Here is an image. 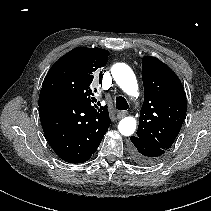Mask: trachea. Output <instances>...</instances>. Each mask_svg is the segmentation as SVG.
Segmentation results:
<instances>
[{
  "mask_svg": "<svg viewBox=\"0 0 211 211\" xmlns=\"http://www.w3.org/2000/svg\"><path fill=\"white\" fill-rule=\"evenodd\" d=\"M115 102H116V108L120 111L127 110L129 108L126 99L122 96L116 97Z\"/></svg>",
  "mask_w": 211,
  "mask_h": 211,
  "instance_id": "trachea-1",
  "label": "trachea"
}]
</instances>
